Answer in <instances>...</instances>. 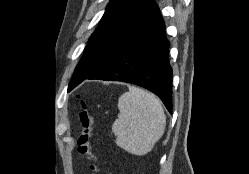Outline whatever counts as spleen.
<instances>
[{"label": "spleen", "mask_w": 249, "mask_h": 174, "mask_svg": "<svg viewBox=\"0 0 249 174\" xmlns=\"http://www.w3.org/2000/svg\"><path fill=\"white\" fill-rule=\"evenodd\" d=\"M120 113L112 125L115 143L131 154L142 156L162 137L166 117L160 101L151 93L134 86L120 96Z\"/></svg>", "instance_id": "3e777b00"}]
</instances>
